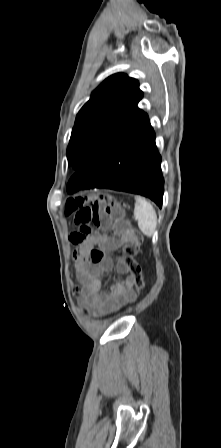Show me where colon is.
I'll return each instance as SVG.
<instances>
[{
  "instance_id": "1",
  "label": "colon",
  "mask_w": 221,
  "mask_h": 448,
  "mask_svg": "<svg viewBox=\"0 0 221 448\" xmlns=\"http://www.w3.org/2000/svg\"><path fill=\"white\" fill-rule=\"evenodd\" d=\"M66 214L74 216V222L79 226V234L82 239L89 236L91 225L100 226L116 225L122 220V214L118 211L115 199L105 193H97L90 197H72L66 202ZM128 226L131 240L124 244L121 249L119 261L125 265L130 272L134 286L141 291L144 287L142 271L140 265L136 262L135 256L138 253L142 242L141 234L132 226L131 222L124 220ZM86 259L92 264L99 263L104 258V252L98 248H91ZM79 293V288H74V294Z\"/></svg>"
}]
</instances>
